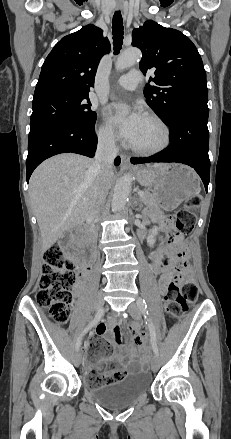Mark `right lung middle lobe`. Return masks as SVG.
Instances as JSON below:
<instances>
[{
	"mask_svg": "<svg viewBox=\"0 0 231 439\" xmlns=\"http://www.w3.org/2000/svg\"><path fill=\"white\" fill-rule=\"evenodd\" d=\"M32 106L30 131L62 120L94 124L97 117L88 95L53 93L33 99Z\"/></svg>",
	"mask_w": 231,
	"mask_h": 439,
	"instance_id": "1",
	"label": "right lung middle lobe"
}]
</instances>
